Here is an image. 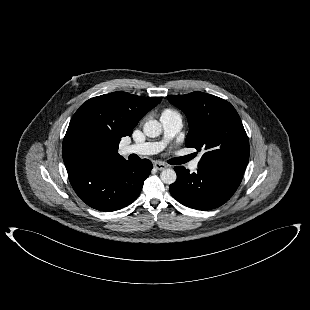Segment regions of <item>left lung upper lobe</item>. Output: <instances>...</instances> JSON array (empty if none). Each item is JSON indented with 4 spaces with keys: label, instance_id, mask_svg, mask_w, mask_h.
I'll use <instances>...</instances> for the list:
<instances>
[{
    "label": "left lung upper lobe",
    "instance_id": "left-lung-upper-lobe-1",
    "mask_svg": "<svg viewBox=\"0 0 310 310\" xmlns=\"http://www.w3.org/2000/svg\"><path fill=\"white\" fill-rule=\"evenodd\" d=\"M187 116L186 147L204 154L198 167L243 175L249 160V140L235 108L226 100L203 92L168 97Z\"/></svg>",
    "mask_w": 310,
    "mask_h": 310
}]
</instances>
